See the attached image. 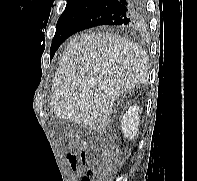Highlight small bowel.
Returning a JSON list of instances; mask_svg holds the SVG:
<instances>
[{
    "label": "small bowel",
    "mask_w": 197,
    "mask_h": 181,
    "mask_svg": "<svg viewBox=\"0 0 197 181\" xmlns=\"http://www.w3.org/2000/svg\"><path fill=\"white\" fill-rule=\"evenodd\" d=\"M71 138H72L73 140H76V139L78 138V136H77V135H72ZM83 151H86V150H83ZM83 151L80 153V155H78V154L75 153V152L69 153V154L67 155V160H68L70 166H71L73 169H75V168L77 167V160H78V157L84 162V159H83V157H82ZM86 152H87V151H86ZM87 153H88V152H87Z\"/></svg>",
    "instance_id": "c3829d8e"
}]
</instances>
